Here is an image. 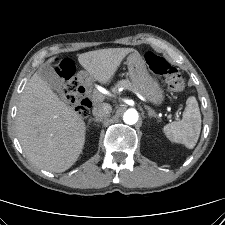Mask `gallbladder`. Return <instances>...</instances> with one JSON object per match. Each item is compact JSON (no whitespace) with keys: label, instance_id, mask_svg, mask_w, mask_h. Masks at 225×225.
I'll return each mask as SVG.
<instances>
[{"label":"gallbladder","instance_id":"obj_1","mask_svg":"<svg viewBox=\"0 0 225 225\" xmlns=\"http://www.w3.org/2000/svg\"><path fill=\"white\" fill-rule=\"evenodd\" d=\"M37 73L54 90L61 91L62 82L55 70L48 63L42 64Z\"/></svg>","mask_w":225,"mask_h":225}]
</instances>
